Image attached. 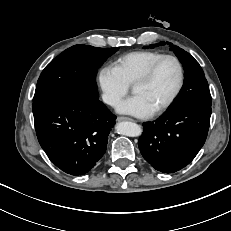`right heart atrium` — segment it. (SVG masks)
Returning a JSON list of instances; mask_svg holds the SVG:
<instances>
[{
  "instance_id": "right-heart-atrium-1",
  "label": "right heart atrium",
  "mask_w": 231,
  "mask_h": 231,
  "mask_svg": "<svg viewBox=\"0 0 231 231\" xmlns=\"http://www.w3.org/2000/svg\"><path fill=\"white\" fill-rule=\"evenodd\" d=\"M97 80L103 101L112 107H116L129 90V85L113 66H102Z\"/></svg>"
}]
</instances>
